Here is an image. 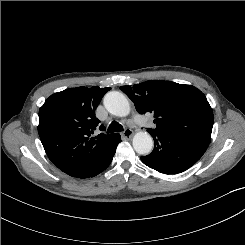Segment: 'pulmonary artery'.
I'll list each match as a JSON object with an SVG mask.
<instances>
[{
    "label": "pulmonary artery",
    "mask_w": 245,
    "mask_h": 245,
    "mask_svg": "<svg viewBox=\"0 0 245 245\" xmlns=\"http://www.w3.org/2000/svg\"><path fill=\"white\" fill-rule=\"evenodd\" d=\"M136 121H137V123L140 124V125H146V124H145V121H144L143 119L139 118V117H136Z\"/></svg>",
    "instance_id": "obj_1"
}]
</instances>
